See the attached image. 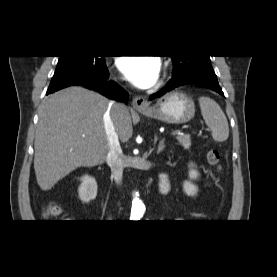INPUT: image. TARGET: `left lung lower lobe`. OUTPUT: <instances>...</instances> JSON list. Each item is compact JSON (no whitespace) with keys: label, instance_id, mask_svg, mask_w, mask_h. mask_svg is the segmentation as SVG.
I'll return each instance as SVG.
<instances>
[{"label":"left lung lower lobe","instance_id":"1","mask_svg":"<svg viewBox=\"0 0 277 277\" xmlns=\"http://www.w3.org/2000/svg\"><path fill=\"white\" fill-rule=\"evenodd\" d=\"M201 84L221 95H224L221 87L218 84L217 77L214 72L192 73L189 75L174 76L167 85L159 92L150 96V99H155L163 94L183 85Z\"/></svg>","mask_w":277,"mask_h":277}]
</instances>
